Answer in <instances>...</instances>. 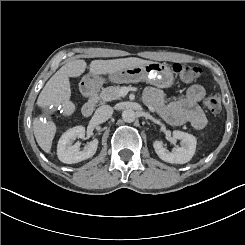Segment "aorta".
<instances>
[{"label": "aorta", "mask_w": 245, "mask_h": 245, "mask_svg": "<svg viewBox=\"0 0 245 245\" xmlns=\"http://www.w3.org/2000/svg\"><path fill=\"white\" fill-rule=\"evenodd\" d=\"M122 119L127 123H132L136 119V113L131 109H126L122 112Z\"/></svg>", "instance_id": "1"}]
</instances>
